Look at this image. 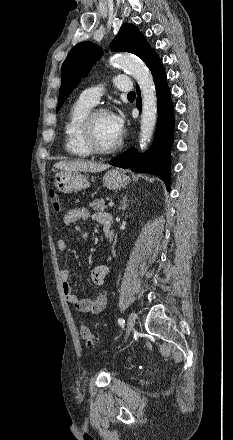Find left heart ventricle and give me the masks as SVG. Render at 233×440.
I'll use <instances>...</instances> for the list:
<instances>
[{"label":"left heart ventricle","mask_w":233,"mask_h":440,"mask_svg":"<svg viewBox=\"0 0 233 440\" xmlns=\"http://www.w3.org/2000/svg\"><path fill=\"white\" fill-rule=\"evenodd\" d=\"M94 134L97 144L103 148L113 146L120 138L112 125L110 114H102L95 119Z\"/></svg>","instance_id":"obj_1"}]
</instances>
